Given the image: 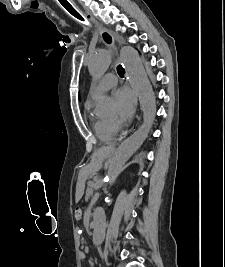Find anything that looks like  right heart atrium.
<instances>
[{"mask_svg": "<svg viewBox=\"0 0 225 267\" xmlns=\"http://www.w3.org/2000/svg\"><path fill=\"white\" fill-rule=\"evenodd\" d=\"M108 122V127L110 128L111 131L115 132L117 130V125L113 121H107Z\"/></svg>", "mask_w": 225, "mask_h": 267, "instance_id": "1", "label": "right heart atrium"}]
</instances>
